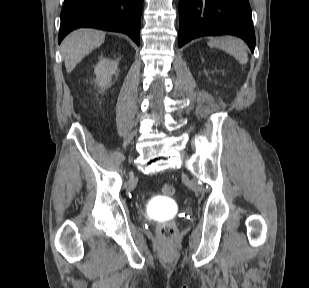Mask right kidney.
Masks as SVG:
<instances>
[{"label": "right kidney", "mask_w": 309, "mask_h": 288, "mask_svg": "<svg viewBox=\"0 0 309 288\" xmlns=\"http://www.w3.org/2000/svg\"><path fill=\"white\" fill-rule=\"evenodd\" d=\"M117 66L118 62L101 58L94 69L96 75L95 83L103 89L109 87L112 75L116 74Z\"/></svg>", "instance_id": "obj_1"}]
</instances>
